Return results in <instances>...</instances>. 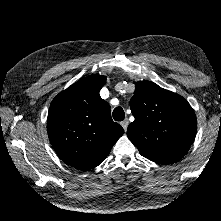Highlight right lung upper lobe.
<instances>
[{
  "mask_svg": "<svg viewBox=\"0 0 221 221\" xmlns=\"http://www.w3.org/2000/svg\"><path fill=\"white\" fill-rule=\"evenodd\" d=\"M105 82L103 75L88 76L51 102L47 118L50 143L62 161L74 168L98 166L124 133L99 95Z\"/></svg>",
  "mask_w": 221,
  "mask_h": 221,
  "instance_id": "1",
  "label": "right lung upper lobe"
}]
</instances>
